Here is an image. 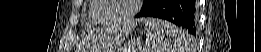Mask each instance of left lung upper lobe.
<instances>
[{
	"mask_svg": "<svg viewBox=\"0 0 261 52\" xmlns=\"http://www.w3.org/2000/svg\"><path fill=\"white\" fill-rule=\"evenodd\" d=\"M153 2V0H144V6L143 8L147 7L148 5H150Z\"/></svg>",
	"mask_w": 261,
	"mask_h": 52,
	"instance_id": "left-lung-upper-lobe-1",
	"label": "left lung upper lobe"
}]
</instances>
